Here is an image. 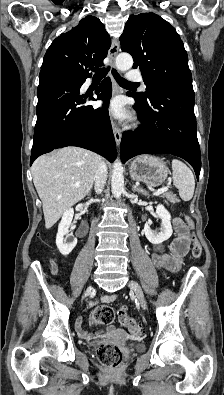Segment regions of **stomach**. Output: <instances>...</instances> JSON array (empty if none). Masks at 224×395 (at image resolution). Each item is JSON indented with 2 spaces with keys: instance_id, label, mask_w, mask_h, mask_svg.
<instances>
[{
  "instance_id": "1",
  "label": "stomach",
  "mask_w": 224,
  "mask_h": 395,
  "mask_svg": "<svg viewBox=\"0 0 224 395\" xmlns=\"http://www.w3.org/2000/svg\"><path fill=\"white\" fill-rule=\"evenodd\" d=\"M129 172L132 179L156 187L165 181L169 169L162 159L141 155L131 162Z\"/></svg>"
}]
</instances>
